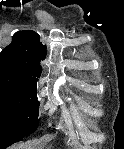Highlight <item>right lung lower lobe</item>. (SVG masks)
I'll return each mask as SVG.
<instances>
[{
  "instance_id": "obj_1",
  "label": "right lung lower lobe",
  "mask_w": 124,
  "mask_h": 149,
  "mask_svg": "<svg viewBox=\"0 0 124 149\" xmlns=\"http://www.w3.org/2000/svg\"><path fill=\"white\" fill-rule=\"evenodd\" d=\"M15 142H17V140L12 139V138H1L0 149H6L8 146L12 145Z\"/></svg>"
}]
</instances>
